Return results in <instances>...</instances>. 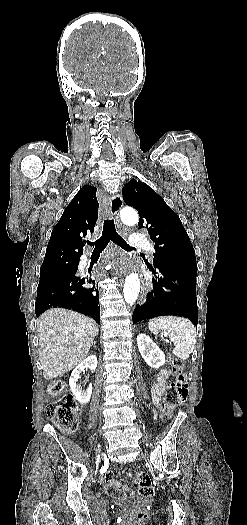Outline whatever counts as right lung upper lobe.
I'll list each match as a JSON object with an SVG mask.
<instances>
[{
	"label": "right lung upper lobe",
	"mask_w": 247,
	"mask_h": 525,
	"mask_svg": "<svg viewBox=\"0 0 247 525\" xmlns=\"http://www.w3.org/2000/svg\"><path fill=\"white\" fill-rule=\"evenodd\" d=\"M97 189L83 186L64 210L52 230L41 269L58 259L79 258L83 253L82 237L93 233L98 218Z\"/></svg>",
	"instance_id": "cb5924a9"
}]
</instances>
